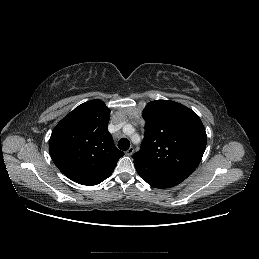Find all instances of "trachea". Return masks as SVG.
<instances>
[{"mask_svg": "<svg viewBox=\"0 0 259 259\" xmlns=\"http://www.w3.org/2000/svg\"><path fill=\"white\" fill-rule=\"evenodd\" d=\"M130 147V141L126 138H122L119 140L118 142V148L123 150V151H126L128 150Z\"/></svg>", "mask_w": 259, "mask_h": 259, "instance_id": "obj_1", "label": "trachea"}]
</instances>
